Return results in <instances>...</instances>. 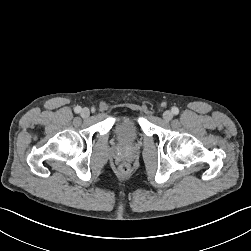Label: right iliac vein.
I'll return each instance as SVG.
<instances>
[{
  "mask_svg": "<svg viewBox=\"0 0 251 251\" xmlns=\"http://www.w3.org/2000/svg\"><path fill=\"white\" fill-rule=\"evenodd\" d=\"M89 115H90V111H89L88 108H83V109L81 110V116H82L83 118H87Z\"/></svg>",
  "mask_w": 251,
  "mask_h": 251,
  "instance_id": "1",
  "label": "right iliac vein"
}]
</instances>
